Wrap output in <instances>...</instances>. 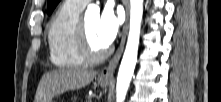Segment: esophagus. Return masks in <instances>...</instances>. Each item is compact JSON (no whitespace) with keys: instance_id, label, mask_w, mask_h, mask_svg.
Listing matches in <instances>:
<instances>
[{"instance_id":"esophagus-1","label":"esophagus","mask_w":221,"mask_h":102,"mask_svg":"<svg viewBox=\"0 0 221 102\" xmlns=\"http://www.w3.org/2000/svg\"><path fill=\"white\" fill-rule=\"evenodd\" d=\"M125 6H126L127 18H126V22H125V25L123 28V35H122L121 43H120V46H119L118 50L116 51L114 57L109 62L108 66L104 67L102 69V71L100 72L99 76L103 79H111L113 77L115 68L120 60V57H121L123 49H124V44H125L127 31H128V17H129V3H128V1L125 2Z\"/></svg>"}]
</instances>
